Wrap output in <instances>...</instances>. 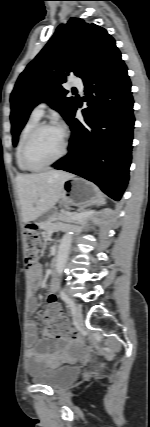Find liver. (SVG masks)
<instances>
[{
    "label": "liver",
    "instance_id": "liver-1",
    "mask_svg": "<svg viewBox=\"0 0 150 427\" xmlns=\"http://www.w3.org/2000/svg\"><path fill=\"white\" fill-rule=\"evenodd\" d=\"M72 177L63 171L17 176L23 222L36 220L52 209L62 196L64 182Z\"/></svg>",
    "mask_w": 150,
    "mask_h": 427
}]
</instances>
